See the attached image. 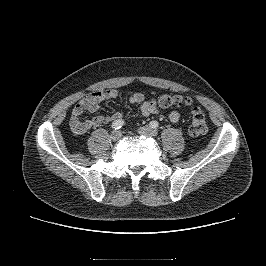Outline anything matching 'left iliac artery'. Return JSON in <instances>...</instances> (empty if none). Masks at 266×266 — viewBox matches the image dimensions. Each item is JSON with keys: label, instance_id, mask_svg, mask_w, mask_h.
Masks as SVG:
<instances>
[{"label": "left iliac artery", "instance_id": "1", "mask_svg": "<svg viewBox=\"0 0 266 266\" xmlns=\"http://www.w3.org/2000/svg\"><path fill=\"white\" fill-rule=\"evenodd\" d=\"M159 126V123L157 121H151L150 127L156 129Z\"/></svg>", "mask_w": 266, "mask_h": 266}]
</instances>
